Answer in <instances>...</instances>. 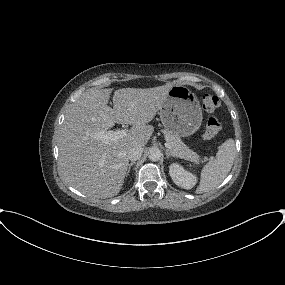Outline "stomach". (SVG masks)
<instances>
[{
  "label": "stomach",
  "instance_id": "0dacf381",
  "mask_svg": "<svg viewBox=\"0 0 285 285\" xmlns=\"http://www.w3.org/2000/svg\"><path fill=\"white\" fill-rule=\"evenodd\" d=\"M159 115L165 130L179 137L192 135L202 122L199 100L190 89L182 85H174L170 89Z\"/></svg>",
  "mask_w": 285,
  "mask_h": 285
}]
</instances>
